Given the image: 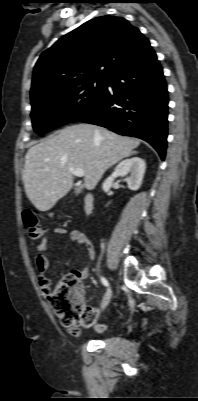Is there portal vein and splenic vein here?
<instances>
[{
    "instance_id": "1",
    "label": "portal vein and splenic vein",
    "mask_w": 198,
    "mask_h": 401,
    "mask_svg": "<svg viewBox=\"0 0 198 401\" xmlns=\"http://www.w3.org/2000/svg\"><path fill=\"white\" fill-rule=\"evenodd\" d=\"M68 170H69V172H70L71 174H73V175H75V176H78V177H84V176H85V172H84L82 169H80V168H73V167H71V168H69Z\"/></svg>"
}]
</instances>
